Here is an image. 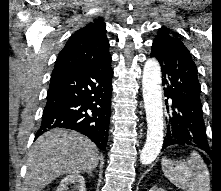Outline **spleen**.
Masks as SVG:
<instances>
[{
  "label": "spleen",
  "instance_id": "spleen-1",
  "mask_svg": "<svg viewBox=\"0 0 221 191\" xmlns=\"http://www.w3.org/2000/svg\"><path fill=\"white\" fill-rule=\"evenodd\" d=\"M165 177L177 188L186 191H210V173L197 152L187 160L162 158Z\"/></svg>",
  "mask_w": 221,
  "mask_h": 191
}]
</instances>
